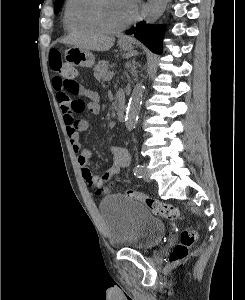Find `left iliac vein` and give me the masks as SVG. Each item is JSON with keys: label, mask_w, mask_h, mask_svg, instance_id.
Masks as SVG:
<instances>
[{"label": "left iliac vein", "mask_w": 245, "mask_h": 300, "mask_svg": "<svg viewBox=\"0 0 245 300\" xmlns=\"http://www.w3.org/2000/svg\"><path fill=\"white\" fill-rule=\"evenodd\" d=\"M142 177H143V179H144L146 182H150V181H151L150 176H149V173H148L147 165H146V164H143V168H142Z\"/></svg>", "instance_id": "4c4485c4"}]
</instances>
